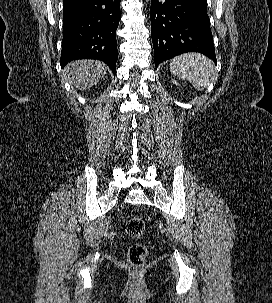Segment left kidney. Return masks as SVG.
Instances as JSON below:
<instances>
[{
  "mask_svg": "<svg viewBox=\"0 0 272 303\" xmlns=\"http://www.w3.org/2000/svg\"><path fill=\"white\" fill-rule=\"evenodd\" d=\"M172 83H174L175 85H179L177 81L172 80Z\"/></svg>",
  "mask_w": 272,
  "mask_h": 303,
  "instance_id": "1",
  "label": "left kidney"
}]
</instances>
